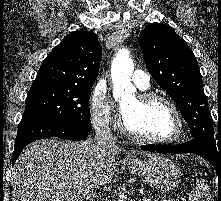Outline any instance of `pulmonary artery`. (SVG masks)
Here are the masks:
<instances>
[{
    "label": "pulmonary artery",
    "instance_id": "pulmonary-artery-1",
    "mask_svg": "<svg viewBox=\"0 0 221 201\" xmlns=\"http://www.w3.org/2000/svg\"><path fill=\"white\" fill-rule=\"evenodd\" d=\"M132 81L140 90H146L150 86L149 75L140 69L134 71L132 75Z\"/></svg>",
    "mask_w": 221,
    "mask_h": 201
}]
</instances>
